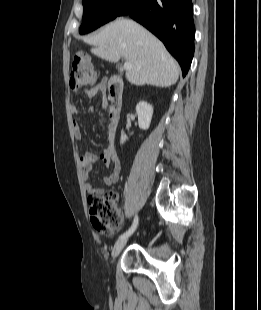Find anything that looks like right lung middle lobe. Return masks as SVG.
<instances>
[{
	"label": "right lung middle lobe",
	"instance_id": "dd1d6c3e",
	"mask_svg": "<svg viewBox=\"0 0 261 310\" xmlns=\"http://www.w3.org/2000/svg\"><path fill=\"white\" fill-rule=\"evenodd\" d=\"M128 0H83V23L80 34L89 33L115 19Z\"/></svg>",
	"mask_w": 261,
	"mask_h": 310
}]
</instances>
